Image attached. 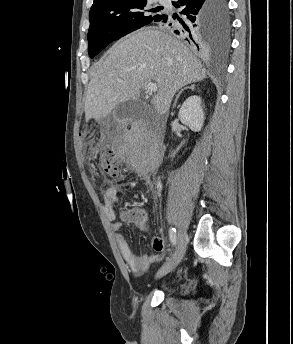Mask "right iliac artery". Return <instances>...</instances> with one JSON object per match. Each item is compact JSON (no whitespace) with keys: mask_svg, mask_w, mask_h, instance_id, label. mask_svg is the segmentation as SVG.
Returning <instances> with one entry per match:
<instances>
[{"mask_svg":"<svg viewBox=\"0 0 293 344\" xmlns=\"http://www.w3.org/2000/svg\"><path fill=\"white\" fill-rule=\"evenodd\" d=\"M169 237H170L171 243L175 246L177 243L176 229L175 228H173V227L170 228Z\"/></svg>","mask_w":293,"mask_h":344,"instance_id":"obj_1","label":"right iliac artery"}]
</instances>
